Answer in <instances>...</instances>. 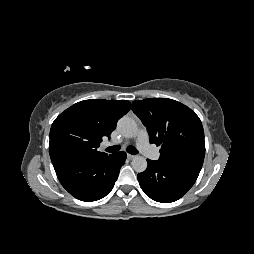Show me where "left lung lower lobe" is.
<instances>
[{"mask_svg":"<svg viewBox=\"0 0 254 254\" xmlns=\"http://www.w3.org/2000/svg\"><path fill=\"white\" fill-rule=\"evenodd\" d=\"M147 169L138 174L140 187L151 199L170 203L181 198L195 183L200 171L164 165L147 159Z\"/></svg>","mask_w":254,"mask_h":254,"instance_id":"left-lung-lower-lobe-1","label":"left lung lower lobe"}]
</instances>
